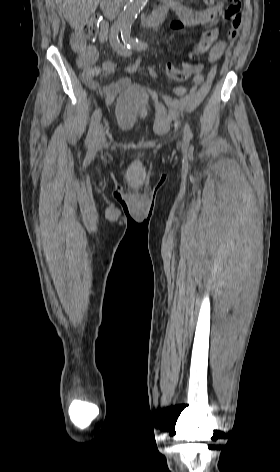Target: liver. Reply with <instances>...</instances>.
<instances>
[{
	"label": "liver",
	"mask_w": 280,
	"mask_h": 472,
	"mask_svg": "<svg viewBox=\"0 0 280 472\" xmlns=\"http://www.w3.org/2000/svg\"><path fill=\"white\" fill-rule=\"evenodd\" d=\"M56 3L70 26L79 30L95 12L100 0H56Z\"/></svg>",
	"instance_id": "1"
}]
</instances>
